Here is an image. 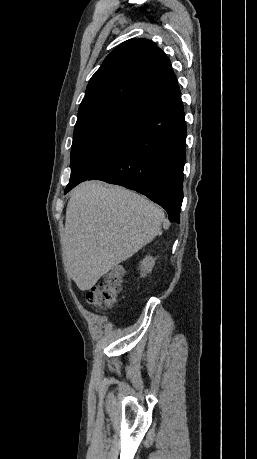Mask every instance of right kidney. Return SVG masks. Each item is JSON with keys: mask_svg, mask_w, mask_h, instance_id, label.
I'll list each match as a JSON object with an SVG mask.
<instances>
[{"mask_svg": "<svg viewBox=\"0 0 257 459\" xmlns=\"http://www.w3.org/2000/svg\"><path fill=\"white\" fill-rule=\"evenodd\" d=\"M154 265L155 259L151 256H146L140 264L141 277H145L148 273H150Z\"/></svg>", "mask_w": 257, "mask_h": 459, "instance_id": "right-kidney-1", "label": "right kidney"}]
</instances>
